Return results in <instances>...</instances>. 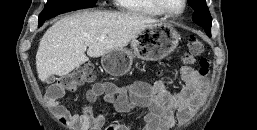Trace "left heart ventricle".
I'll list each match as a JSON object with an SVG mask.
<instances>
[{"label": "left heart ventricle", "instance_id": "1", "mask_svg": "<svg viewBox=\"0 0 257 130\" xmlns=\"http://www.w3.org/2000/svg\"><path fill=\"white\" fill-rule=\"evenodd\" d=\"M162 2L172 12H178L182 8V0H162Z\"/></svg>", "mask_w": 257, "mask_h": 130}]
</instances>
